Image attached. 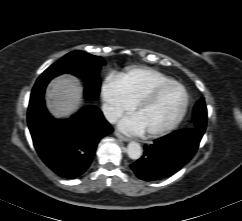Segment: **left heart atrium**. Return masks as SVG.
<instances>
[{
  "label": "left heart atrium",
  "instance_id": "left-heart-atrium-1",
  "mask_svg": "<svg viewBox=\"0 0 242 221\" xmlns=\"http://www.w3.org/2000/svg\"><path fill=\"white\" fill-rule=\"evenodd\" d=\"M119 128L126 133L141 134L144 129L135 116L123 118L119 123Z\"/></svg>",
  "mask_w": 242,
  "mask_h": 221
}]
</instances>
